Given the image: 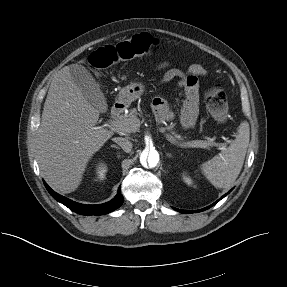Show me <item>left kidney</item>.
Masks as SVG:
<instances>
[{"instance_id": "5707ae66", "label": "left kidney", "mask_w": 287, "mask_h": 287, "mask_svg": "<svg viewBox=\"0 0 287 287\" xmlns=\"http://www.w3.org/2000/svg\"><path fill=\"white\" fill-rule=\"evenodd\" d=\"M183 181L187 184V185H192L193 184V180L186 174H183Z\"/></svg>"}]
</instances>
